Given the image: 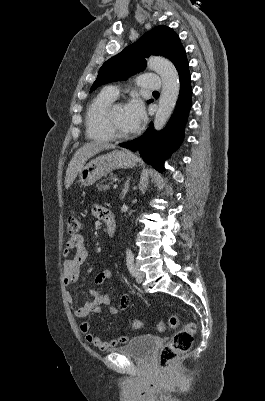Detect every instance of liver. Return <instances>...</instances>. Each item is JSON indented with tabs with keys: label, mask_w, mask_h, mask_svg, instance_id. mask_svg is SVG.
<instances>
[{
	"label": "liver",
	"mask_w": 265,
	"mask_h": 401,
	"mask_svg": "<svg viewBox=\"0 0 265 401\" xmlns=\"http://www.w3.org/2000/svg\"><path fill=\"white\" fill-rule=\"evenodd\" d=\"M106 148H115V144H111V142H98V140H91V142H85L83 146H80L68 164L64 180L66 188L71 186L78 172L83 168L86 160L91 158V156H94V154H98L101 150H106Z\"/></svg>",
	"instance_id": "1"
}]
</instances>
